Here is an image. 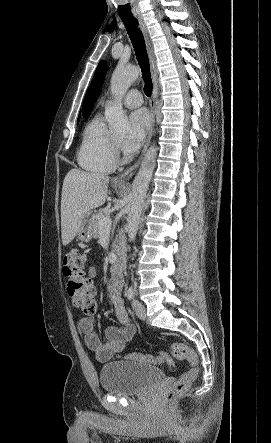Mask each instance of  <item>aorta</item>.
<instances>
[{"instance_id":"obj_1","label":"aorta","mask_w":271,"mask_h":443,"mask_svg":"<svg viewBox=\"0 0 271 443\" xmlns=\"http://www.w3.org/2000/svg\"><path fill=\"white\" fill-rule=\"evenodd\" d=\"M139 74L140 70L136 66H117L112 74L110 90L116 102H114L112 108H106L105 118L113 132H127V130H130L128 116L122 108V98ZM157 150L158 148L154 144L147 150L141 162L140 170L132 184L127 216L129 241H134L138 231L148 186L156 164Z\"/></svg>"}]
</instances>
